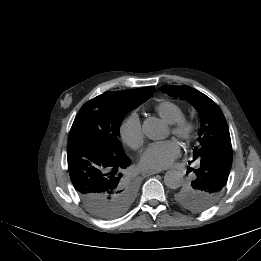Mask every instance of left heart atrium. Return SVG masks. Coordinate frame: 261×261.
I'll use <instances>...</instances> for the list:
<instances>
[{
    "label": "left heart atrium",
    "instance_id": "1",
    "mask_svg": "<svg viewBox=\"0 0 261 261\" xmlns=\"http://www.w3.org/2000/svg\"><path fill=\"white\" fill-rule=\"evenodd\" d=\"M180 152V145L173 139L151 143L140 156V166L145 170L167 168L179 157Z\"/></svg>",
    "mask_w": 261,
    "mask_h": 261
}]
</instances>
